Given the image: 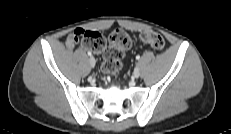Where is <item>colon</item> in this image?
Listing matches in <instances>:
<instances>
[{
	"instance_id": "obj_1",
	"label": "colon",
	"mask_w": 231,
	"mask_h": 134,
	"mask_svg": "<svg viewBox=\"0 0 231 134\" xmlns=\"http://www.w3.org/2000/svg\"><path fill=\"white\" fill-rule=\"evenodd\" d=\"M73 38L94 53L103 52V69L111 75L119 73L124 51L131 45V38L121 29H116L111 33L108 46L106 39L98 31L76 29L73 32ZM140 40L155 50H162L165 46L164 38L154 31L143 32Z\"/></svg>"
}]
</instances>
